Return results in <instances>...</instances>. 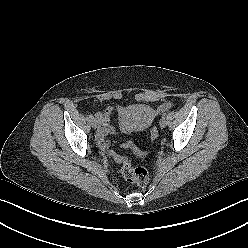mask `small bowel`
Returning <instances> with one entry per match:
<instances>
[{"mask_svg":"<svg viewBox=\"0 0 248 248\" xmlns=\"http://www.w3.org/2000/svg\"><path fill=\"white\" fill-rule=\"evenodd\" d=\"M167 108H169V105H163V109ZM116 111L119 113V125L121 131L126 134H130L135 131L124 122L123 107L109 106L106 109L98 112L96 114V118L99 123L97 131V143L101 150H106L111 144V141L107 138V135L112 134L115 131L114 127L110 124V116Z\"/></svg>","mask_w":248,"mask_h":248,"instance_id":"small-bowel-1","label":"small bowel"}]
</instances>
